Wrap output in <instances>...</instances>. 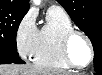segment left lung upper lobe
<instances>
[{
	"label": "left lung upper lobe",
	"instance_id": "left-lung-upper-lobe-1",
	"mask_svg": "<svg viewBox=\"0 0 102 75\" xmlns=\"http://www.w3.org/2000/svg\"><path fill=\"white\" fill-rule=\"evenodd\" d=\"M75 24L90 38L94 69L102 72V0H57Z\"/></svg>",
	"mask_w": 102,
	"mask_h": 75
}]
</instances>
